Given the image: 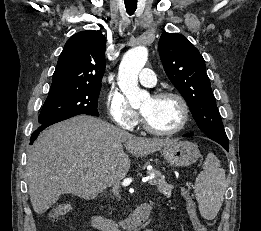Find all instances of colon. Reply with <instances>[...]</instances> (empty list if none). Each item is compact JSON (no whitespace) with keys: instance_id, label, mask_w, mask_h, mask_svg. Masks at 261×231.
I'll use <instances>...</instances> for the list:
<instances>
[{"instance_id":"colon-1","label":"colon","mask_w":261,"mask_h":231,"mask_svg":"<svg viewBox=\"0 0 261 231\" xmlns=\"http://www.w3.org/2000/svg\"><path fill=\"white\" fill-rule=\"evenodd\" d=\"M187 206L191 212L195 231H207L206 227L198 220V218L194 212L193 202L190 200V198H187ZM66 212H67L66 208H57L51 213V218L56 219V218L62 216L63 214H65Z\"/></svg>"}]
</instances>
